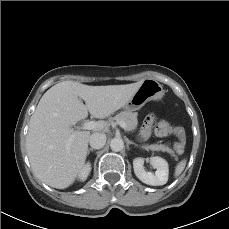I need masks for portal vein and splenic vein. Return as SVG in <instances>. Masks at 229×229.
Segmentation results:
<instances>
[{
  "instance_id": "obj_1",
  "label": "portal vein and splenic vein",
  "mask_w": 229,
  "mask_h": 229,
  "mask_svg": "<svg viewBox=\"0 0 229 229\" xmlns=\"http://www.w3.org/2000/svg\"><path fill=\"white\" fill-rule=\"evenodd\" d=\"M123 129H126L127 125L124 122H119L118 123ZM102 127V124L100 122L97 121H86L83 123L82 125V129L84 130H95L97 128ZM72 140V138L70 139Z\"/></svg>"
}]
</instances>
